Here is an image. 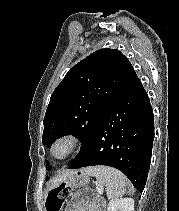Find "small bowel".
Segmentation results:
<instances>
[{
  "instance_id": "1",
  "label": "small bowel",
  "mask_w": 179,
  "mask_h": 211,
  "mask_svg": "<svg viewBox=\"0 0 179 211\" xmlns=\"http://www.w3.org/2000/svg\"><path fill=\"white\" fill-rule=\"evenodd\" d=\"M65 211H104V202L91 189L77 191Z\"/></svg>"
}]
</instances>
